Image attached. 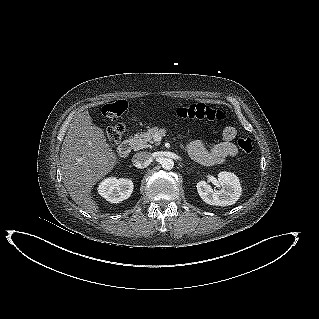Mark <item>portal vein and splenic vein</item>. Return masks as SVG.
I'll return each instance as SVG.
<instances>
[{
  "instance_id": "18ae733b",
  "label": "portal vein and splenic vein",
  "mask_w": 319,
  "mask_h": 319,
  "mask_svg": "<svg viewBox=\"0 0 319 319\" xmlns=\"http://www.w3.org/2000/svg\"><path fill=\"white\" fill-rule=\"evenodd\" d=\"M155 138H157L158 141L161 140V135L159 133L155 134Z\"/></svg>"
}]
</instances>
